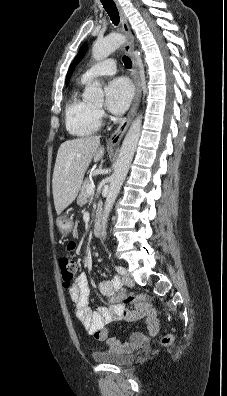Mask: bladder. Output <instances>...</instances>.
<instances>
[{
	"instance_id": "31cf9c89",
	"label": "bladder",
	"mask_w": 227,
	"mask_h": 396,
	"mask_svg": "<svg viewBox=\"0 0 227 396\" xmlns=\"http://www.w3.org/2000/svg\"><path fill=\"white\" fill-rule=\"evenodd\" d=\"M92 357L96 362L117 366H126L135 360V354L131 352L97 351L92 354Z\"/></svg>"
}]
</instances>
